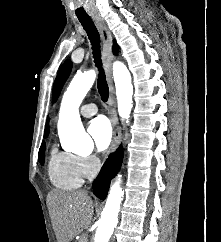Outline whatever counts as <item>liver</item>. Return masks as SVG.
I'll return each instance as SVG.
<instances>
[{
  "instance_id": "1",
  "label": "liver",
  "mask_w": 221,
  "mask_h": 242,
  "mask_svg": "<svg viewBox=\"0 0 221 242\" xmlns=\"http://www.w3.org/2000/svg\"><path fill=\"white\" fill-rule=\"evenodd\" d=\"M49 213L58 242H70L88 228L93 217V201L86 191H51Z\"/></svg>"
}]
</instances>
